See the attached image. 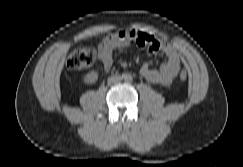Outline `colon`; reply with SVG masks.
Wrapping results in <instances>:
<instances>
[{
  "label": "colon",
  "instance_id": "obj_1",
  "mask_svg": "<svg viewBox=\"0 0 243 167\" xmlns=\"http://www.w3.org/2000/svg\"><path fill=\"white\" fill-rule=\"evenodd\" d=\"M120 37V33H113L107 37V42H112ZM96 60V52L92 47L83 46L73 51L67 60V66L70 70L81 71L90 67ZM188 75L185 71L179 74V80L185 82Z\"/></svg>",
  "mask_w": 243,
  "mask_h": 167
}]
</instances>
